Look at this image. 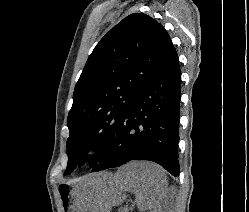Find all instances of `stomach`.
<instances>
[{
    "instance_id": "stomach-1",
    "label": "stomach",
    "mask_w": 249,
    "mask_h": 212,
    "mask_svg": "<svg viewBox=\"0 0 249 212\" xmlns=\"http://www.w3.org/2000/svg\"><path fill=\"white\" fill-rule=\"evenodd\" d=\"M106 170H95V174L88 175L84 180L68 182L59 188L64 212H108L116 210L120 204V193L124 184H118L113 175H106Z\"/></svg>"
}]
</instances>
